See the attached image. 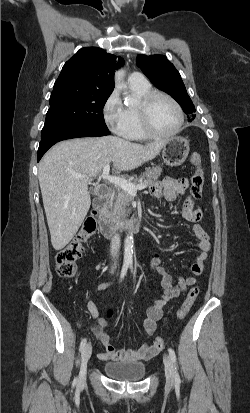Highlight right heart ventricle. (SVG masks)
<instances>
[{
	"label": "right heart ventricle",
	"mask_w": 250,
	"mask_h": 413,
	"mask_svg": "<svg viewBox=\"0 0 250 413\" xmlns=\"http://www.w3.org/2000/svg\"><path fill=\"white\" fill-rule=\"evenodd\" d=\"M132 91L142 98L145 94L151 91L149 84L145 86H131ZM126 112V124L123 132V136L129 140H145L148 137L144 133L137 107H127Z\"/></svg>",
	"instance_id": "e07e8e85"
}]
</instances>
